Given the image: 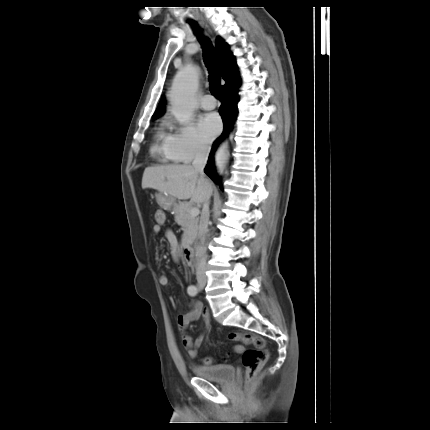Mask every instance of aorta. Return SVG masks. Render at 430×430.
I'll list each match as a JSON object with an SVG mask.
<instances>
[{"mask_svg": "<svg viewBox=\"0 0 430 430\" xmlns=\"http://www.w3.org/2000/svg\"><path fill=\"white\" fill-rule=\"evenodd\" d=\"M198 88V72L195 67L187 66L177 73L169 93L171 113L180 124L189 122L193 116L195 93ZM229 159L228 145L223 143L215 154L217 169L222 172ZM199 250L196 251V256Z\"/></svg>", "mask_w": 430, "mask_h": 430, "instance_id": "aorta-1", "label": "aorta"}]
</instances>
